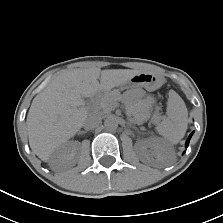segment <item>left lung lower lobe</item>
I'll list each match as a JSON object with an SVG mask.
<instances>
[{
    "mask_svg": "<svg viewBox=\"0 0 223 223\" xmlns=\"http://www.w3.org/2000/svg\"><path fill=\"white\" fill-rule=\"evenodd\" d=\"M192 134H193V133L190 134L188 140L186 141V147H188V145H189V141H190V138H191Z\"/></svg>",
    "mask_w": 223,
    "mask_h": 223,
    "instance_id": "left-lung-lower-lobe-1",
    "label": "left lung lower lobe"
}]
</instances>
